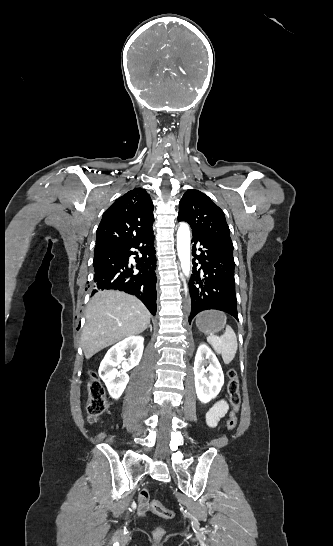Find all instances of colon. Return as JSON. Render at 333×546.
<instances>
[{"label": "colon", "mask_w": 333, "mask_h": 546, "mask_svg": "<svg viewBox=\"0 0 333 546\" xmlns=\"http://www.w3.org/2000/svg\"><path fill=\"white\" fill-rule=\"evenodd\" d=\"M227 393L232 410L226 422V426L229 430H232L236 427V414L239 411L241 404L239 381L237 374L233 369L228 371ZM108 405L109 403L106 397L105 388L102 382L98 379L96 373L92 372L88 383L87 413L89 421L91 423L96 422L107 410ZM150 508L156 515L164 519H172L175 516V512L173 510L164 507L157 500H153L151 502ZM154 535L157 538H161L164 535V529L157 528L154 531Z\"/></svg>", "instance_id": "5ec220e1"}]
</instances>
